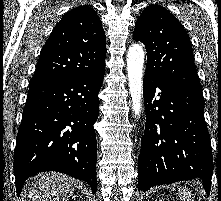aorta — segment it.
Here are the masks:
<instances>
[{"instance_id": "1", "label": "aorta", "mask_w": 221, "mask_h": 201, "mask_svg": "<svg viewBox=\"0 0 221 201\" xmlns=\"http://www.w3.org/2000/svg\"><path fill=\"white\" fill-rule=\"evenodd\" d=\"M144 51L141 45L133 44L127 54V76L132 101V110L135 116L141 113L142 84H143Z\"/></svg>"}]
</instances>
